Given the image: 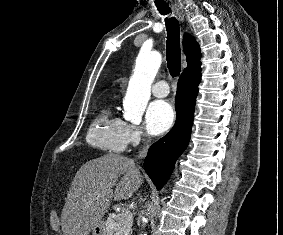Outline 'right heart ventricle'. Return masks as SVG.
Masks as SVG:
<instances>
[{
  "label": "right heart ventricle",
  "instance_id": "e07e8e85",
  "mask_svg": "<svg viewBox=\"0 0 283 235\" xmlns=\"http://www.w3.org/2000/svg\"><path fill=\"white\" fill-rule=\"evenodd\" d=\"M87 142L104 152L121 153L127 146L125 122L116 115L114 107L103 108L87 133Z\"/></svg>",
  "mask_w": 283,
  "mask_h": 235
}]
</instances>
